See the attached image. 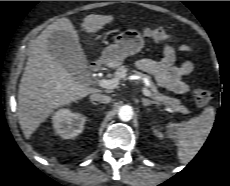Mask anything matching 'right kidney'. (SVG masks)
Returning a JSON list of instances; mask_svg holds the SVG:
<instances>
[{
	"label": "right kidney",
	"mask_w": 230,
	"mask_h": 186,
	"mask_svg": "<svg viewBox=\"0 0 230 186\" xmlns=\"http://www.w3.org/2000/svg\"><path fill=\"white\" fill-rule=\"evenodd\" d=\"M52 121L56 134L63 139H71L83 131L86 117L68 109H61L52 116Z\"/></svg>",
	"instance_id": "obj_1"
}]
</instances>
